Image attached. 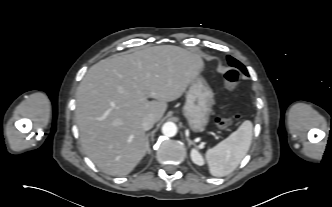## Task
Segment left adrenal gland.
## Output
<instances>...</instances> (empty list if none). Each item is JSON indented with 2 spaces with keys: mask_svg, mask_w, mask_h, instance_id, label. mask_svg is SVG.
I'll list each match as a JSON object with an SVG mask.
<instances>
[{
  "mask_svg": "<svg viewBox=\"0 0 332 207\" xmlns=\"http://www.w3.org/2000/svg\"><path fill=\"white\" fill-rule=\"evenodd\" d=\"M186 140H187L189 146L193 144L192 140L187 136H186Z\"/></svg>",
  "mask_w": 332,
  "mask_h": 207,
  "instance_id": "obj_1",
  "label": "left adrenal gland"
}]
</instances>
